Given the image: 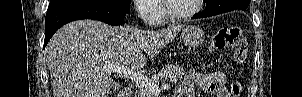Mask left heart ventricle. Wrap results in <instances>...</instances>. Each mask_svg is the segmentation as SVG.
Segmentation results:
<instances>
[{"mask_svg":"<svg viewBox=\"0 0 302 97\" xmlns=\"http://www.w3.org/2000/svg\"><path fill=\"white\" fill-rule=\"evenodd\" d=\"M171 9L174 13L187 12L195 7L196 0H170Z\"/></svg>","mask_w":302,"mask_h":97,"instance_id":"b2bd125f","label":"left heart ventricle"}]
</instances>
